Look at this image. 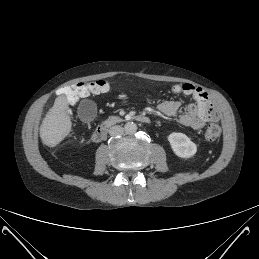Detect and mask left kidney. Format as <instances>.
<instances>
[{
  "instance_id": "1",
  "label": "left kidney",
  "mask_w": 259,
  "mask_h": 259,
  "mask_svg": "<svg viewBox=\"0 0 259 259\" xmlns=\"http://www.w3.org/2000/svg\"><path fill=\"white\" fill-rule=\"evenodd\" d=\"M168 141L175 155L180 158H190L197 152V146L183 133L173 132L168 136Z\"/></svg>"
}]
</instances>
